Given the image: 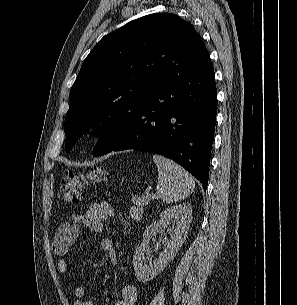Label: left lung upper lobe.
<instances>
[{
	"mask_svg": "<svg viewBox=\"0 0 297 305\" xmlns=\"http://www.w3.org/2000/svg\"><path fill=\"white\" fill-rule=\"evenodd\" d=\"M211 64L201 36L171 13L133 20L104 36L84 60L70 91L66 114V152L91 128L109 140L122 136L141 106L169 80Z\"/></svg>",
	"mask_w": 297,
	"mask_h": 305,
	"instance_id": "left-lung-upper-lobe-1",
	"label": "left lung upper lobe"
}]
</instances>
